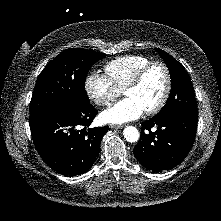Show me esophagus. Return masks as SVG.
<instances>
[{
    "instance_id": "34e87169",
    "label": "esophagus",
    "mask_w": 221,
    "mask_h": 221,
    "mask_svg": "<svg viewBox=\"0 0 221 221\" xmlns=\"http://www.w3.org/2000/svg\"><path fill=\"white\" fill-rule=\"evenodd\" d=\"M124 127V125H116V124H111L110 125V128L111 129H121V128H123Z\"/></svg>"
}]
</instances>
